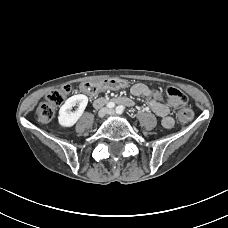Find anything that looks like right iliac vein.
<instances>
[{"label": "right iliac vein", "mask_w": 228, "mask_h": 228, "mask_svg": "<svg viewBox=\"0 0 228 228\" xmlns=\"http://www.w3.org/2000/svg\"><path fill=\"white\" fill-rule=\"evenodd\" d=\"M107 113H108V110L106 108H102V109L99 110L98 116L100 118H103Z\"/></svg>", "instance_id": "obj_1"}]
</instances>
